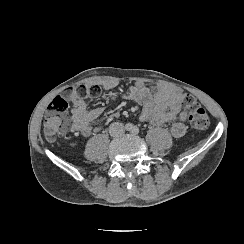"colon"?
<instances>
[{
  "mask_svg": "<svg viewBox=\"0 0 244 244\" xmlns=\"http://www.w3.org/2000/svg\"><path fill=\"white\" fill-rule=\"evenodd\" d=\"M101 94L100 85H92L89 88L83 84L70 85L63 92V96L55 97L48 105L43 119V134L48 139H55L66 132L69 128L67 113L69 103L66 98L80 95L82 98L98 96ZM181 105L188 108L189 120L192 126L198 130H205L209 126V117L199 101L191 94L181 96Z\"/></svg>",
  "mask_w": 244,
  "mask_h": 244,
  "instance_id": "5ec220e1",
  "label": "colon"
}]
</instances>
